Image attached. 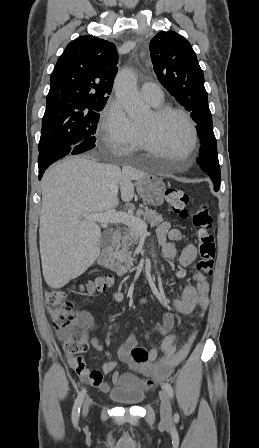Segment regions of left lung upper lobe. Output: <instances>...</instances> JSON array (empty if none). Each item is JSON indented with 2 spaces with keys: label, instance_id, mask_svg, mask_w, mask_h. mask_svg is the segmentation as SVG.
Returning <instances> with one entry per match:
<instances>
[{
  "label": "left lung upper lobe",
  "instance_id": "left-lung-upper-lobe-1",
  "mask_svg": "<svg viewBox=\"0 0 259 448\" xmlns=\"http://www.w3.org/2000/svg\"><path fill=\"white\" fill-rule=\"evenodd\" d=\"M149 50L158 80L196 123L200 149L216 144L204 74L190 43L174 31L160 32Z\"/></svg>",
  "mask_w": 259,
  "mask_h": 448
}]
</instances>
